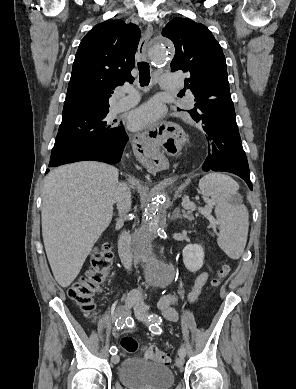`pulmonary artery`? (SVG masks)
I'll use <instances>...</instances> for the list:
<instances>
[{"label":"pulmonary artery","instance_id":"e3ab8cb5","mask_svg":"<svg viewBox=\"0 0 296 389\" xmlns=\"http://www.w3.org/2000/svg\"><path fill=\"white\" fill-rule=\"evenodd\" d=\"M160 83L163 89L177 90L181 87V83L171 74L162 75ZM126 95L123 96L115 106L116 111H123L134 106L139 101V95L134 89L128 88L125 90Z\"/></svg>","mask_w":296,"mask_h":389}]
</instances>
